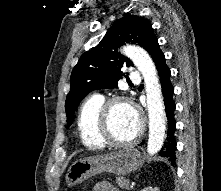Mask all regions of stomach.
<instances>
[{"instance_id": "0dacf381", "label": "stomach", "mask_w": 221, "mask_h": 191, "mask_svg": "<svg viewBox=\"0 0 221 191\" xmlns=\"http://www.w3.org/2000/svg\"><path fill=\"white\" fill-rule=\"evenodd\" d=\"M143 162L140 152L131 148L83 158L70 166L65 181L67 186L71 187L103 172L125 175L140 168Z\"/></svg>"}]
</instances>
